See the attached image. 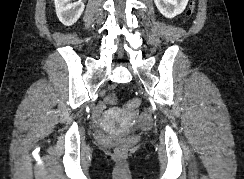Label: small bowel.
<instances>
[{
	"mask_svg": "<svg viewBox=\"0 0 244 179\" xmlns=\"http://www.w3.org/2000/svg\"><path fill=\"white\" fill-rule=\"evenodd\" d=\"M142 122H141V125L142 126H151L152 125V122L149 121V116H142Z\"/></svg>",
	"mask_w": 244,
	"mask_h": 179,
	"instance_id": "1",
	"label": "small bowel"
}]
</instances>
